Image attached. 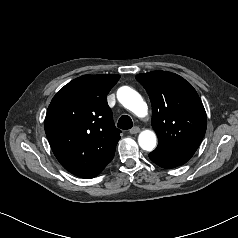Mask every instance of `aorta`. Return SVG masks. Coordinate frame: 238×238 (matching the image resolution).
<instances>
[{"instance_id": "762f6f07", "label": "aorta", "mask_w": 238, "mask_h": 238, "mask_svg": "<svg viewBox=\"0 0 238 238\" xmlns=\"http://www.w3.org/2000/svg\"><path fill=\"white\" fill-rule=\"evenodd\" d=\"M117 99L128 110L138 117H145L148 112L147 104L141 95L128 86H123L117 91ZM139 146L145 151H153L156 147V134L151 130H144L138 136Z\"/></svg>"}]
</instances>
